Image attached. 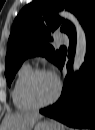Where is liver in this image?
I'll use <instances>...</instances> for the list:
<instances>
[{"label": "liver", "mask_w": 95, "mask_h": 130, "mask_svg": "<svg viewBox=\"0 0 95 130\" xmlns=\"http://www.w3.org/2000/svg\"><path fill=\"white\" fill-rule=\"evenodd\" d=\"M42 116L36 112L7 114L3 120V130H32Z\"/></svg>", "instance_id": "liver-1"}]
</instances>
